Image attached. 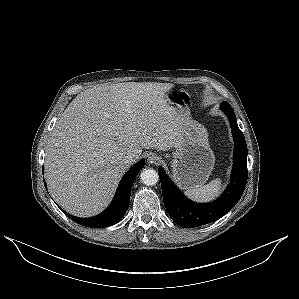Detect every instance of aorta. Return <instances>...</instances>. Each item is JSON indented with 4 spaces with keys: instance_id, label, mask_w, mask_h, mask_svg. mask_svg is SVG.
<instances>
[{
    "instance_id": "1",
    "label": "aorta",
    "mask_w": 299,
    "mask_h": 299,
    "mask_svg": "<svg viewBox=\"0 0 299 299\" xmlns=\"http://www.w3.org/2000/svg\"><path fill=\"white\" fill-rule=\"evenodd\" d=\"M140 179L145 185L152 186L159 181V175L156 170L147 168L141 172Z\"/></svg>"
}]
</instances>
